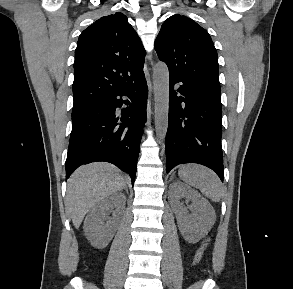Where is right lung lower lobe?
<instances>
[{
	"label": "right lung lower lobe",
	"instance_id": "right-lung-lower-lobe-1",
	"mask_svg": "<svg viewBox=\"0 0 293 289\" xmlns=\"http://www.w3.org/2000/svg\"><path fill=\"white\" fill-rule=\"evenodd\" d=\"M147 95V83L142 75L132 85L72 113L66 179L85 163L105 161L127 171L134 183L146 122ZM122 96L128 100H122ZM123 104L128 107L119 113L117 109Z\"/></svg>",
	"mask_w": 293,
	"mask_h": 289
}]
</instances>
